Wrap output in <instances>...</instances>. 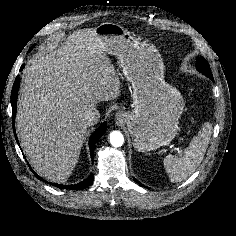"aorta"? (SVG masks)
Here are the masks:
<instances>
[{
	"label": "aorta",
	"mask_w": 236,
	"mask_h": 236,
	"mask_svg": "<svg viewBox=\"0 0 236 236\" xmlns=\"http://www.w3.org/2000/svg\"><path fill=\"white\" fill-rule=\"evenodd\" d=\"M110 143L114 147H120L124 143L123 134L120 131H112L110 133Z\"/></svg>",
	"instance_id": "762f6f07"
}]
</instances>
